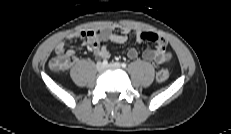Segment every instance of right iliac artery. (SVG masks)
<instances>
[{
  "label": "right iliac artery",
  "mask_w": 231,
  "mask_h": 134,
  "mask_svg": "<svg viewBox=\"0 0 231 134\" xmlns=\"http://www.w3.org/2000/svg\"><path fill=\"white\" fill-rule=\"evenodd\" d=\"M102 64H103L104 66H106V65L108 64V61H107V60H103Z\"/></svg>",
  "instance_id": "right-iliac-artery-1"
}]
</instances>
